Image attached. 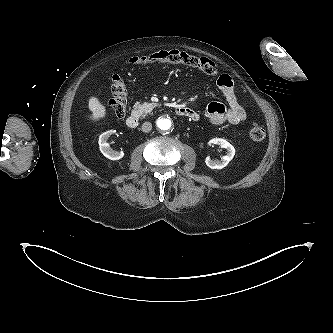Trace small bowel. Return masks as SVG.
Instances as JSON below:
<instances>
[{
  "mask_svg": "<svg viewBox=\"0 0 333 333\" xmlns=\"http://www.w3.org/2000/svg\"><path fill=\"white\" fill-rule=\"evenodd\" d=\"M217 86L222 91L228 106L219 102L208 104L205 111L207 120L214 125L225 122L236 125L243 122L246 119V113L236 96L231 77L226 74L221 75L217 80ZM184 108L182 116L194 121L199 119V114L195 110L189 107Z\"/></svg>",
  "mask_w": 333,
  "mask_h": 333,
  "instance_id": "obj_1",
  "label": "small bowel"
}]
</instances>
